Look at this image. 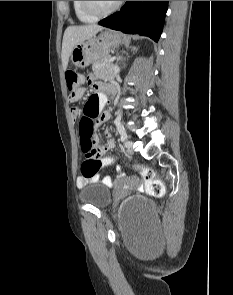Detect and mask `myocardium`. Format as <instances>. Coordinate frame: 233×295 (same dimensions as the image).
Segmentation results:
<instances>
[{"instance_id": "myocardium-1", "label": "myocardium", "mask_w": 233, "mask_h": 295, "mask_svg": "<svg viewBox=\"0 0 233 295\" xmlns=\"http://www.w3.org/2000/svg\"><path fill=\"white\" fill-rule=\"evenodd\" d=\"M122 2L123 1H117L111 8L105 11L97 10L92 1H81V6L87 14L95 18H100V17L108 16L114 13L115 11H117L118 8L121 6Z\"/></svg>"}]
</instances>
